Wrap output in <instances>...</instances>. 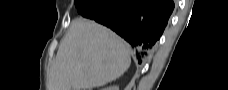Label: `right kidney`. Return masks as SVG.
<instances>
[{"label":"right kidney","instance_id":"obj_1","mask_svg":"<svg viewBox=\"0 0 228 90\" xmlns=\"http://www.w3.org/2000/svg\"><path fill=\"white\" fill-rule=\"evenodd\" d=\"M105 90H119L118 86H109L108 88H105Z\"/></svg>","mask_w":228,"mask_h":90}]
</instances>
